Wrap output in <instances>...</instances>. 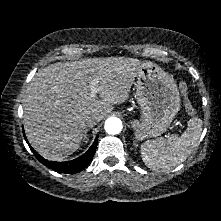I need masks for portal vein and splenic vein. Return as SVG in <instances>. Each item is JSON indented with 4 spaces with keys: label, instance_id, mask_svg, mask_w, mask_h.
Returning <instances> with one entry per match:
<instances>
[{
    "label": "portal vein and splenic vein",
    "instance_id": "18ae733b",
    "mask_svg": "<svg viewBox=\"0 0 221 221\" xmlns=\"http://www.w3.org/2000/svg\"><path fill=\"white\" fill-rule=\"evenodd\" d=\"M96 82H97V81H96L95 79H93L92 82H91V84H92L91 90H90V96H91V97H95L96 94H97V92H98L97 88L94 86V85L96 84ZM172 136H173V135H172Z\"/></svg>",
    "mask_w": 221,
    "mask_h": 221
}]
</instances>
